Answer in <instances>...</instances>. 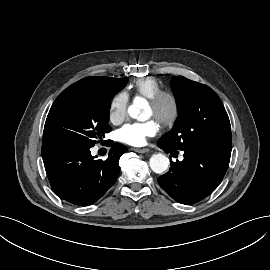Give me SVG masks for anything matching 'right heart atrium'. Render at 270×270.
<instances>
[{
  "mask_svg": "<svg viewBox=\"0 0 270 270\" xmlns=\"http://www.w3.org/2000/svg\"><path fill=\"white\" fill-rule=\"evenodd\" d=\"M128 95L125 91L116 93L109 103L108 117L113 124L121 123L127 116Z\"/></svg>",
  "mask_w": 270,
  "mask_h": 270,
  "instance_id": "right-heart-atrium-1",
  "label": "right heart atrium"
}]
</instances>
